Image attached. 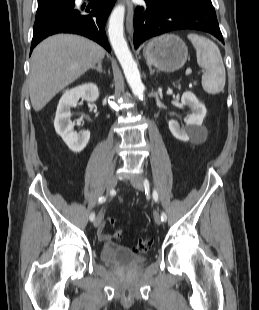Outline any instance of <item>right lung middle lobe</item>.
Instances as JSON below:
<instances>
[{
  "label": "right lung middle lobe",
  "mask_w": 259,
  "mask_h": 310,
  "mask_svg": "<svg viewBox=\"0 0 259 310\" xmlns=\"http://www.w3.org/2000/svg\"><path fill=\"white\" fill-rule=\"evenodd\" d=\"M72 0H38V10H43L51 6L67 5Z\"/></svg>",
  "instance_id": "dd1d6c3e"
}]
</instances>
